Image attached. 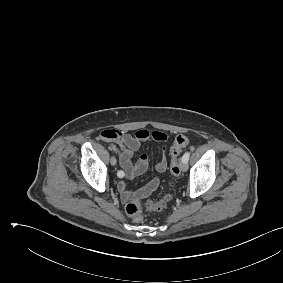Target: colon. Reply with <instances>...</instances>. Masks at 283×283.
Instances as JSON below:
<instances>
[{
    "instance_id": "colon-1",
    "label": "colon",
    "mask_w": 283,
    "mask_h": 283,
    "mask_svg": "<svg viewBox=\"0 0 283 283\" xmlns=\"http://www.w3.org/2000/svg\"><path fill=\"white\" fill-rule=\"evenodd\" d=\"M188 144H189L188 138L183 134H179L176 136L174 143L170 148L171 163H170L169 171L172 179L170 181V185H173V178L178 176L180 173L178 156L180 155L182 149L186 147ZM171 199H172L171 194H166L158 201H153V200L146 201L144 203V206L148 211L160 212L167 207ZM125 211L128 214V216H130L132 219L136 221L141 220L142 202L138 198H133L129 200L125 206Z\"/></svg>"
}]
</instances>
